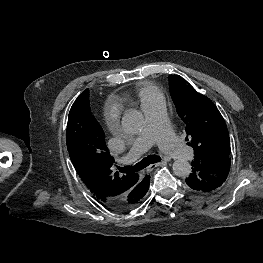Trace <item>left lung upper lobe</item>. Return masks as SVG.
<instances>
[{
	"label": "left lung upper lobe",
	"instance_id": "left-lung-upper-lobe-1",
	"mask_svg": "<svg viewBox=\"0 0 263 263\" xmlns=\"http://www.w3.org/2000/svg\"><path fill=\"white\" fill-rule=\"evenodd\" d=\"M170 94L178 116L191 138L194 158L230 156V139L226 123L215 104L198 93L179 75L169 76ZM188 140V138H186Z\"/></svg>",
	"mask_w": 263,
	"mask_h": 263
}]
</instances>
